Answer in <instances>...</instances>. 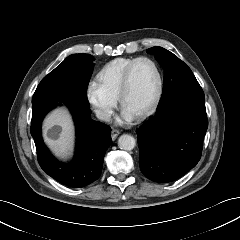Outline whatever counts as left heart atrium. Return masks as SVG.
Returning <instances> with one entry per match:
<instances>
[{
    "label": "left heart atrium",
    "instance_id": "left-heart-atrium-1",
    "mask_svg": "<svg viewBox=\"0 0 240 240\" xmlns=\"http://www.w3.org/2000/svg\"><path fill=\"white\" fill-rule=\"evenodd\" d=\"M133 116L122 110L121 115L117 118L118 123L130 122L133 120Z\"/></svg>",
    "mask_w": 240,
    "mask_h": 240
}]
</instances>
